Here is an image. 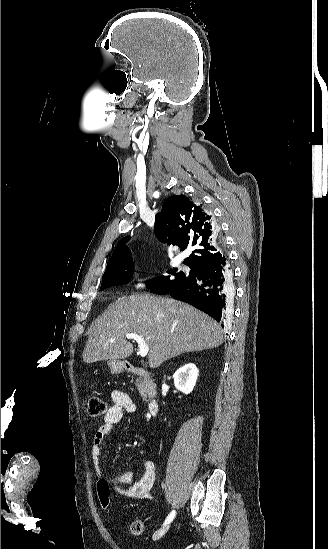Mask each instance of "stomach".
<instances>
[{
    "mask_svg": "<svg viewBox=\"0 0 328 549\" xmlns=\"http://www.w3.org/2000/svg\"><path fill=\"white\" fill-rule=\"evenodd\" d=\"M107 365L111 373H114V375H118V373H123V371H128V369H130L131 367L128 361H120V359H109V361H107Z\"/></svg>",
    "mask_w": 328,
    "mask_h": 549,
    "instance_id": "0dacf381",
    "label": "stomach"
}]
</instances>
